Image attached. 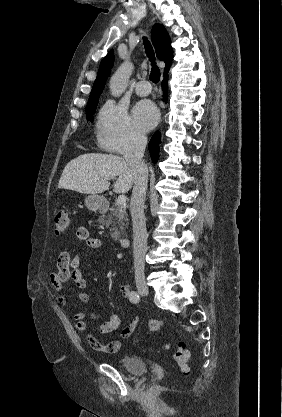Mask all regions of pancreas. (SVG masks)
<instances>
[{
    "label": "pancreas",
    "mask_w": 282,
    "mask_h": 417,
    "mask_svg": "<svg viewBox=\"0 0 282 417\" xmlns=\"http://www.w3.org/2000/svg\"><path fill=\"white\" fill-rule=\"evenodd\" d=\"M109 211L110 213L108 215L100 217L99 223L106 225V229H110V235L113 241H120L128 221L127 213L123 209V204H118V202H115Z\"/></svg>",
    "instance_id": "obj_1"
}]
</instances>
